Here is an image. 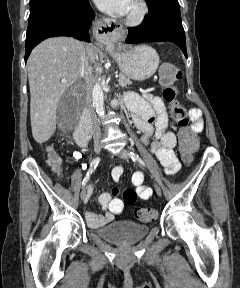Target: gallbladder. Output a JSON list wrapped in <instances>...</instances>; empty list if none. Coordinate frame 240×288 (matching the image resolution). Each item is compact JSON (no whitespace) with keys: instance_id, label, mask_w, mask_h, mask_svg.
Instances as JSON below:
<instances>
[{"instance_id":"obj_1","label":"gallbladder","mask_w":240,"mask_h":288,"mask_svg":"<svg viewBox=\"0 0 240 288\" xmlns=\"http://www.w3.org/2000/svg\"><path fill=\"white\" fill-rule=\"evenodd\" d=\"M74 111V107L69 105L66 97L64 96L58 105V118L62 120V116H68Z\"/></svg>"}]
</instances>
